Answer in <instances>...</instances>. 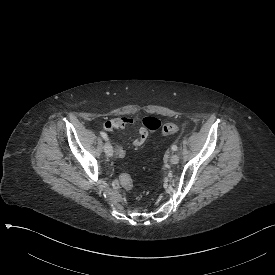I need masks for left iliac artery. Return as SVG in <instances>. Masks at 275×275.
I'll use <instances>...</instances> for the list:
<instances>
[{"instance_id":"obj_1","label":"left iliac artery","mask_w":275,"mask_h":275,"mask_svg":"<svg viewBox=\"0 0 275 275\" xmlns=\"http://www.w3.org/2000/svg\"><path fill=\"white\" fill-rule=\"evenodd\" d=\"M172 150H173V151H176V150H177V146H176V145H173V146H172Z\"/></svg>"}]
</instances>
